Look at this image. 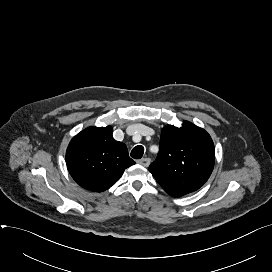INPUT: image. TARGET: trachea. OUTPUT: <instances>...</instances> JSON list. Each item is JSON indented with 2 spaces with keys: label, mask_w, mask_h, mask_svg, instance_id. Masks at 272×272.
Instances as JSON below:
<instances>
[{
  "label": "trachea",
  "mask_w": 272,
  "mask_h": 272,
  "mask_svg": "<svg viewBox=\"0 0 272 272\" xmlns=\"http://www.w3.org/2000/svg\"><path fill=\"white\" fill-rule=\"evenodd\" d=\"M144 154V147L141 145L135 146L131 151V157L134 159H141Z\"/></svg>",
  "instance_id": "1"
}]
</instances>
